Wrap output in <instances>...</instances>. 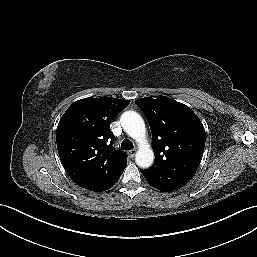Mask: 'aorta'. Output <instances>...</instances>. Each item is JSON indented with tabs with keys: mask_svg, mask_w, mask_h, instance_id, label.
I'll use <instances>...</instances> for the list:
<instances>
[{
	"mask_svg": "<svg viewBox=\"0 0 257 257\" xmlns=\"http://www.w3.org/2000/svg\"><path fill=\"white\" fill-rule=\"evenodd\" d=\"M120 121L124 131L139 144L136 164L141 168L150 167L154 161V153L145 139L146 128L142 117L135 111H126Z\"/></svg>",
	"mask_w": 257,
	"mask_h": 257,
	"instance_id": "762f6f07",
	"label": "aorta"
}]
</instances>
